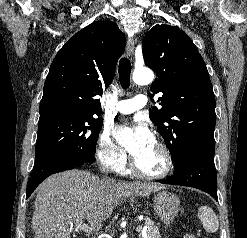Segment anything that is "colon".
<instances>
[{
	"instance_id": "colon-1",
	"label": "colon",
	"mask_w": 247,
	"mask_h": 238,
	"mask_svg": "<svg viewBox=\"0 0 247 238\" xmlns=\"http://www.w3.org/2000/svg\"><path fill=\"white\" fill-rule=\"evenodd\" d=\"M184 238H197L194 234H186Z\"/></svg>"
}]
</instances>
